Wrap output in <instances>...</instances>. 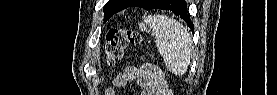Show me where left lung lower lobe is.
<instances>
[{"label": "left lung lower lobe", "instance_id": "0a47b994", "mask_svg": "<svg viewBox=\"0 0 277 95\" xmlns=\"http://www.w3.org/2000/svg\"><path fill=\"white\" fill-rule=\"evenodd\" d=\"M150 0H134L128 7H142L146 10H149ZM176 0H164V2L158 6V9H166L172 11L177 16H180L183 20L186 21L188 26L193 29V24L187 13V5L184 0H181L179 5H176ZM153 9V8H152Z\"/></svg>", "mask_w": 277, "mask_h": 95}]
</instances>
